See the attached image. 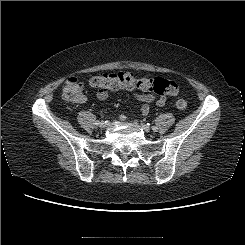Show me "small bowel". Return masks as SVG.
<instances>
[{
  "label": "small bowel",
  "mask_w": 245,
  "mask_h": 245,
  "mask_svg": "<svg viewBox=\"0 0 245 245\" xmlns=\"http://www.w3.org/2000/svg\"><path fill=\"white\" fill-rule=\"evenodd\" d=\"M126 90L129 91L130 93H132V95L134 96L135 99H137L138 101H141L143 103L141 106V114L143 116L148 115L149 110H150V104L155 103L157 106L162 107L166 103V97H164V96L157 98L155 95L148 93L146 91L137 92L133 88L132 89H126ZM96 96L99 100H106L109 97V92L98 90L96 93ZM120 118H121V120H126L127 119L126 113H122L120 115Z\"/></svg>",
  "instance_id": "obj_1"
}]
</instances>
